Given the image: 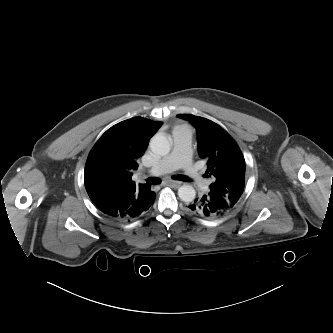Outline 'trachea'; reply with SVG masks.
<instances>
[{"mask_svg": "<svg viewBox=\"0 0 333 333\" xmlns=\"http://www.w3.org/2000/svg\"><path fill=\"white\" fill-rule=\"evenodd\" d=\"M172 179L190 182V179L187 176H185V175H174V176H172ZM146 182L148 184H151V185H156V184H160L161 180L158 177H149L146 180Z\"/></svg>", "mask_w": 333, "mask_h": 333, "instance_id": "1", "label": "trachea"}]
</instances>
